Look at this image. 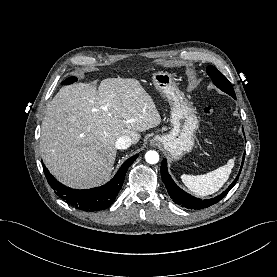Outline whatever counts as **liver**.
I'll return each instance as SVG.
<instances>
[{
    "instance_id": "6515ba94",
    "label": "liver",
    "mask_w": 277,
    "mask_h": 277,
    "mask_svg": "<svg viewBox=\"0 0 277 277\" xmlns=\"http://www.w3.org/2000/svg\"><path fill=\"white\" fill-rule=\"evenodd\" d=\"M160 123L154 100L137 80L108 78L98 88L71 84L47 104L41 156L61 183L75 189L96 187L111 175L117 139L126 135L136 144L138 132Z\"/></svg>"
}]
</instances>
